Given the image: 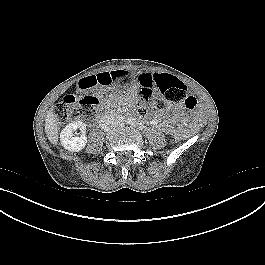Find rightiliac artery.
Returning a JSON list of instances; mask_svg holds the SVG:
<instances>
[{
	"instance_id": "82829eb1",
	"label": "right iliac artery",
	"mask_w": 265,
	"mask_h": 265,
	"mask_svg": "<svg viewBox=\"0 0 265 265\" xmlns=\"http://www.w3.org/2000/svg\"><path fill=\"white\" fill-rule=\"evenodd\" d=\"M123 119H124V117H123V116H118V122H122V121H123Z\"/></svg>"
}]
</instances>
